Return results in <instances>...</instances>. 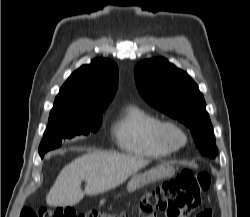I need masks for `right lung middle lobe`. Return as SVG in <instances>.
Wrapping results in <instances>:
<instances>
[{"mask_svg": "<svg viewBox=\"0 0 250 217\" xmlns=\"http://www.w3.org/2000/svg\"><path fill=\"white\" fill-rule=\"evenodd\" d=\"M102 112L49 119V124L39 146L40 156L43 158L47 151L60 147L62 139H71L77 135H88L90 132H96L102 123Z\"/></svg>", "mask_w": 250, "mask_h": 217, "instance_id": "right-lung-middle-lobe-1", "label": "right lung middle lobe"}]
</instances>
